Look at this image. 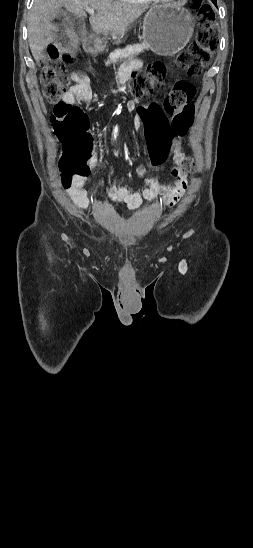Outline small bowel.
<instances>
[{
	"label": "small bowel",
	"mask_w": 253,
	"mask_h": 548,
	"mask_svg": "<svg viewBox=\"0 0 253 548\" xmlns=\"http://www.w3.org/2000/svg\"><path fill=\"white\" fill-rule=\"evenodd\" d=\"M139 67L136 61H128L124 63L118 71L117 84H123L131 74ZM72 86L64 95L63 100L70 104H90L93 102V96L90 88V80L82 71H76L71 74ZM137 98L128 101L127 108L129 110H141ZM145 122V121H142ZM182 137H173L168 142V154H171L174 166L171 173L174 180L171 184H163L157 176L148 177L147 169L144 165H139L136 169L137 175L143 179L145 188L142 191H136L131 187L121 185L113 180L109 187V197L114 203H123L130 208H138L144 201L153 202L156 196H160V204L166 207L174 206L186 192L188 181L186 174L179 171L178 167L181 159L184 156L182 151ZM97 159H90L92 168L97 166ZM87 176H77L70 184L64 185L68 196L73 203L80 209L88 208L92 192L85 189Z\"/></svg>",
	"instance_id": "small-bowel-1"
}]
</instances>
